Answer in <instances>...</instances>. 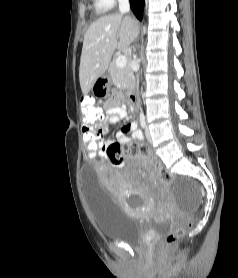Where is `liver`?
<instances>
[{
	"label": "liver",
	"instance_id": "obj_1",
	"mask_svg": "<svg viewBox=\"0 0 238 278\" xmlns=\"http://www.w3.org/2000/svg\"><path fill=\"white\" fill-rule=\"evenodd\" d=\"M138 35V21L128 16L123 18L120 14L100 17L89 26L84 35L79 67L80 86L84 95L107 71L114 51H128Z\"/></svg>",
	"mask_w": 238,
	"mask_h": 278
}]
</instances>
